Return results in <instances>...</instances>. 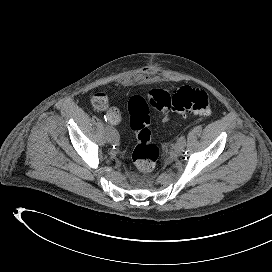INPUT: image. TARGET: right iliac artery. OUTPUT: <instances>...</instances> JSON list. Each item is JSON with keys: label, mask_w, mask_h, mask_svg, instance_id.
Returning <instances> with one entry per match:
<instances>
[{"label": "right iliac artery", "mask_w": 272, "mask_h": 272, "mask_svg": "<svg viewBox=\"0 0 272 272\" xmlns=\"http://www.w3.org/2000/svg\"><path fill=\"white\" fill-rule=\"evenodd\" d=\"M104 120L107 122L109 120V117L104 115ZM107 129H108V132L110 134L111 137H116L117 136V131L116 130H112L111 126L107 125Z\"/></svg>", "instance_id": "82829eb1"}]
</instances>
